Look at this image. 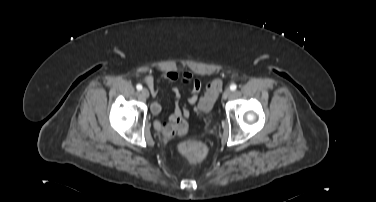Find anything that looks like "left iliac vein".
I'll use <instances>...</instances> for the list:
<instances>
[{"label":"left iliac vein","mask_w":376,"mask_h":202,"mask_svg":"<svg viewBox=\"0 0 376 202\" xmlns=\"http://www.w3.org/2000/svg\"><path fill=\"white\" fill-rule=\"evenodd\" d=\"M231 93L232 92L230 89H225L222 96L224 99H227L231 95Z\"/></svg>","instance_id":"4c4485c4"}]
</instances>
